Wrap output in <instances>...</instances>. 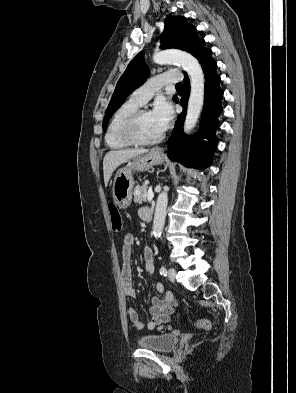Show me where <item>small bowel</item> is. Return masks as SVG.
Listing matches in <instances>:
<instances>
[{
    "mask_svg": "<svg viewBox=\"0 0 296 393\" xmlns=\"http://www.w3.org/2000/svg\"><path fill=\"white\" fill-rule=\"evenodd\" d=\"M147 210L148 209L146 207H142L139 209V217L141 219H145ZM134 243V235L132 233L126 234L122 245L123 264L120 278L123 292L126 296L129 297H136V290L133 287L131 279L130 264ZM144 256L146 272L153 273L155 271V260L151 248H145ZM156 290L161 295V297L150 296L147 306L150 317L146 324L141 321L136 309H128L129 319L135 329L141 330L146 327L149 330H153L155 328L163 329L165 327H168L170 315L173 312L174 307L176 306V300L174 298V295L170 291L166 290L162 283H156Z\"/></svg>",
    "mask_w": 296,
    "mask_h": 393,
    "instance_id": "obj_1",
    "label": "small bowel"
}]
</instances>
